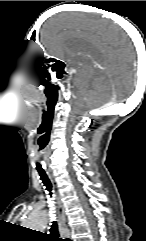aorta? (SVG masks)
I'll return each mask as SVG.
<instances>
[{"label": "aorta", "mask_w": 146, "mask_h": 241, "mask_svg": "<svg viewBox=\"0 0 146 241\" xmlns=\"http://www.w3.org/2000/svg\"><path fill=\"white\" fill-rule=\"evenodd\" d=\"M48 223V213L46 211H39L31 214L24 222L27 228L33 230H44Z\"/></svg>", "instance_id": "aorta-1"}]
</instances>
